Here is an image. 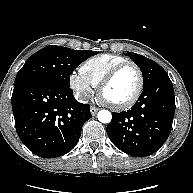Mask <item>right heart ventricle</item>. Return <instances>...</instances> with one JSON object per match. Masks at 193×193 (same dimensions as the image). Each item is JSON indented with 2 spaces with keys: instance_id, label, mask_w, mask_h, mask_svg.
Masks as SVG:
<instances>
[{
  "instance_id": "obj_1",
  "label": "right heart ventricle",
  "mask_w": 193,
  "mask_h": 193,
  "mask_svg": "<svg viewBox=\"0 0 193 193\" xmlns=\"http://www.w3.org/2000/svg\"><path fill=\"white\" fill-rule=\"evenodd\" d=\"M125 57L114 54H100L85 60L80 66V73L94 87L117 65L127 62Z\"/></svg>"
}]
</instances>
